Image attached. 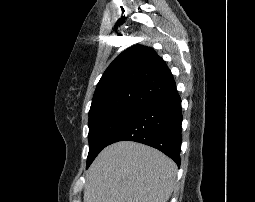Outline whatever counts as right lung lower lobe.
I'll return each mask as SVG.
<instances>
[{"label": "right lung lower lobe", "instance_id": "1", "mask_svg": "<svg viewBox=\"0 0 255 202\" xmlns=\"http://www.w3.org/2000/svg\"><path fill=\"white\" fill-rule=\"evenodd\" d=\"M182 111L177 91L139 109L109 140L136 141L154 147L180 166Z\"/></svg>", "mask_w": 255, "mask_h": 202}]
</instances>
